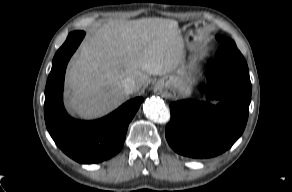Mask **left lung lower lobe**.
I'll use <instances>...</instances> for the list:
<instances>
[{"instance_id":"0a47b994","label":"left lung lower lobe","mask_w":292,"mask_h":192,"mask_svg":"<svg viewBox=\"0 0 292 192\" xmlns=\"http://www.w3.org/2000/svg\"><path fill=\"white\" fill-rule=\"evenodd\" d=\"M208 102L182 100L170 106L166 139L177 153L209 158L228 150L243 133L251 101L247 63L237 48L220 46L210 73Z\"/></svg>"}]
</instances>
